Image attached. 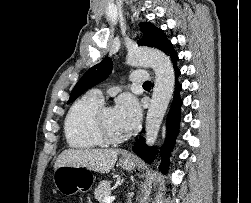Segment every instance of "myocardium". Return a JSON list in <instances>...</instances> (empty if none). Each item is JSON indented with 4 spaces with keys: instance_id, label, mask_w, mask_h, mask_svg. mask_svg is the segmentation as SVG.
<instances>
[{
    "instance_id": "obj_1",
    "label": "myocardium",
    "mask_w": 251,
    "mask_h": 203,
    "mask_svg": "<svg viewBox=\"0 0 251 203\" xmlns=\"http://www.w3.org/2000/svg\"><path fill=\"white\" fill-rule=\"evenodd\" d=\"M108 105H101L95 112L94 116V129L101 140L108 144H116L125 141L128 138L127 134L115 135L109 131L104 121V112Z\"/></svg>"
}]
</instances>
